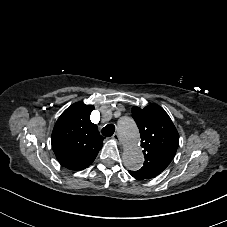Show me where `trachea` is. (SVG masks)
<instances>
[{
  "mask_svg": "<svg viewBox=\"0 0 227 227\" xmlns=\"http://www.w3.org/2000/svg\"><path fill=\"white\" fill-rule=\"evenodd\" d=\"M102 135L105 137H111L115 132V126L113 124H108L102 129Z\"/></svg>",
  "mask_w": 227,
  "mask_h": 227,
  "instance_id": "obj_1",
  "label": "trachea"
}]
</instances>
